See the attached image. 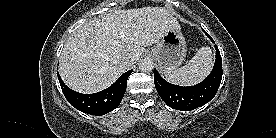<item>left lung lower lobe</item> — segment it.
<instances>
[{
  "mask_svg": "<svg viewBox=\"0 0 276 138\" xmlns=\"http://www.w3.org/2000/svg\"><path fill=\"white\" fill-rule=\"evenodd\" d=\"M212 42L213 39L206 33ZM214 67L208 77L201 83L183 87L165 81L154 69V83L159 96L171 108L190 111L206 104L215 96L222 79V59L217 46Z\"/></svg>",
  "mask_w": 276,
  "mask_h": 138,
  "instance_id": "0a47b994",
  "label": "left lung lower lobe"
}]
</instances>
